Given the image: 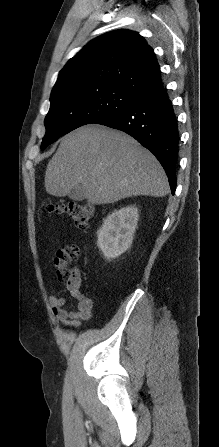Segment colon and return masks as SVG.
Returning a JSON list of instances; mask_svg holds the SVG:
<instances>
[{"label":"colon","mask_w":219,"mask_h":447,"mask_svg":"<svg viewBox=\"0 0 219 447\" xmlns=\"http://www.w3.org/2000/svg\"><path fill=\"white\" fill-rule=\"evenodd\" d=\"M48 212L54 214H67L73 224L78 228L88 226L93 217V210L90 206L76 203L73 201H61L50 204ZM80 249L77 245L70 244L57 251L54 258V264L57 267V273L61 280L76 284L79 280V271L69 266V263L78 258Z\"/></svg>","instance_id":"obj_1"}]
</instances>
